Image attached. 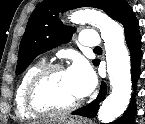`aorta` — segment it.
Returning <instances> with one entry per match:
<instances>
[{"instance_id":"aorta-1","label":"aorta","mask_w":145,"mask_h":124,"mask_svg":"<svg viewBox=\"0 0 145 124\" xmlns=\"http://www.w3.org/2000/svg\"><path fill=\"white\" fill-rule=\"evenodd\" d=\"M70 20L76 24L86 22L95 25L104 41L112 90L99 109L98 119L101 123H110L124 113L132 93L130 56L125 46L123 27L96 10L77 11Z\"/></svg>"}]
</instances>
